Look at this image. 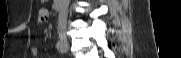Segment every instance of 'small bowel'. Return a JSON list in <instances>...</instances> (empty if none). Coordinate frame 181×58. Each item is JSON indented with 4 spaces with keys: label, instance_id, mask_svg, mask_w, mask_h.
Masks as SVG:
<instances>
[{
    "label": "small bowel",
    "instance_id": "small-bowel-1",
    "mask_svg": "<svg viewBox=\"0 0 181 58\" xmlns=\"http://www.w3.org/2000/svg\"><path fill=\"white\" fill-rule=\"evenodd\" d=\"M48 18V11L45 8H42L38 12V21L44 22ZM31 53L33 57H36L38 55V49L36 47L32 48Z\"/></svg>",
    "mask_w": 181,
    "mask_h": 58
}]
</instances>
